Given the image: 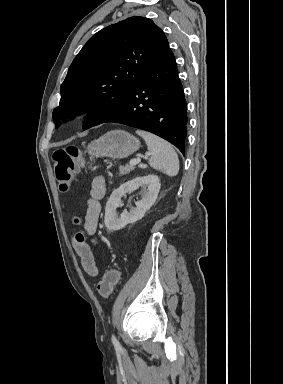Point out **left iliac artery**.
<instances>
[{
    "label": "left iliac artery",
    "mask_w": 283,
    "mask_h": 384,
    "mask_svg": "<svg viewBox=\"0 0 283 384\" xmlns=\"http://www.w3.org/2000/svg\"><path fill=\"white\" fill-rule=\"evenodd\" d=\"M112 343H113L115 349H117V350L121 349V345L114 335H112Z\"/></svg>",
    "instance_id": "1"
}]
</instances>
